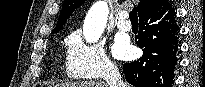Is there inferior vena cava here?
<instances>
[{"label":"inferior vena cava","instance_id":"inferior-vena-cava-1","mask_svg":"<svg viewBox=\"0 0 205 87\" xmlns=\"http://www.w3.org/2000/svg\"><path fill=\"white\" fill-rule=\"evenodd\" d=\"M104 79L106 80L108 87H125L121 81L119 70L114 65H108L104 73Z\"/></svg>","mask_w":205,"mask_h":87}]
</instances>
